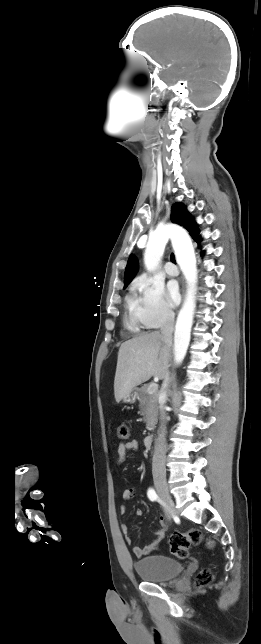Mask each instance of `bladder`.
<instances>
[{
	"mask_svg": "<svg viewBox=\"0 0 261 644\" xmlns=\"http://www.w3.org/2000/svg\"><path fill=\"white\" fill-rule=\"evenodd\" d=\"M135 573L147 582H164L177 577L183 570L182 564L163 555L143 557L133 564Z\"/></svg>",
	"mask_w": 261,
	"mask_h": 644,
	"instance_id": "1",
	"label": "bladder"
}]
</instances>
